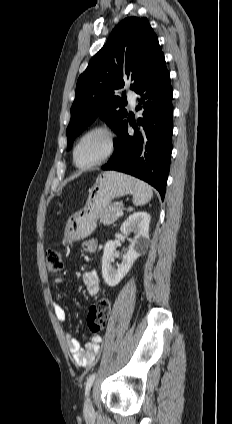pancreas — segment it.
Listing matches in <instances>:
<instances>
[{
  "label": "pancreas",
  "instance_id": "cf45deb5",
  "mask_svg": "<svg viewBox=\"0 0 232 424\" xmlns=\"http://www.w3.org/2000/svg\"><path fill=\"white\" fill-rule=\"evenodd\" d=\"M118 210H121L120 207L116 205H109L105 210L100 213V223H103L104 225L113 224L119 217L117 215Z\"/></svg>",
  "mask_w": 232,
  "mask_h": 424
}]
</instances>
